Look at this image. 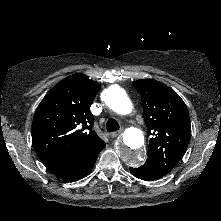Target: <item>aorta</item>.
<instances>
[{"mask_svg": "<svg viewBox=\"0 0 221 221\" xmlns=\"http://www.w3.org/2000/svg\"><path fill=\"white\" fill-rule=\"evenodd\" d=\"M106 105L114 112L127 115L131 113L133 105L124 90L117 86L107 90ZM144 136L138 128H128L124 131L118 146L117 155L129 166H139L144 160L143 156Z\"/></svg>", "mask_w": 221, "mask_h": 221, "instance_id": "obj_1", "label": "aorta"}]
</instances>
